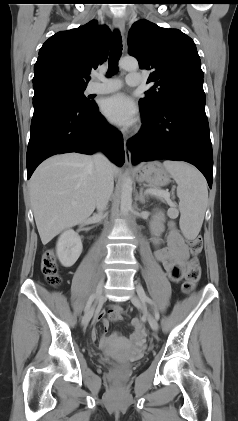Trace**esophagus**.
<instances>
[{
    "label": "esophagus",
    "mask_w": 238,
    "mask_h": 421,
    "mask_svg": "<svg viewBox=\"0 0 238 421\" xmlns=\"http://www.w3.org/2000/svg\"><path fill=\"white\" fill-rule=\"evenodd\" d=\"M113 24L116 29L120 31L122 35H124L125 32V23L122 17H115L113 19ZM128 139L129 137L127 135H124V151H125V164L127 166H131V151L128 148Z\"/></svg>",
    "instance_id": "34e87169"
}]
</instances>
